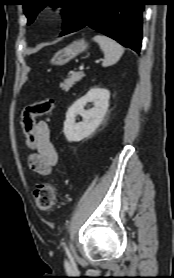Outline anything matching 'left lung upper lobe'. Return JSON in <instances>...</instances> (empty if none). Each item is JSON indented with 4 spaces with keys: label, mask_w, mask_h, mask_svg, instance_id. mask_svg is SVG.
I'll list each match as a JSON object with an SVG mask.
<instances>
[{
    "label": "left lung upper lobe",
    "mask_w": 174,
    "mask_h": 278,
    "mask_svg": "<svg viewBox=\"0 0 174 278\" xmlns=\"http://www.w3.org/2000/svg\"><path fill=\"white\" fill-rule=\"evenodd\" d=\"M82 0H62L60 2L63 3H49L53 2L52 0H25L23 4V10L28 18V25L31 24L36 15L47 5L50 6H59L63 5V7L68 8L69 10L66 13H63L64 19H66L65 23L63 24V28L72 21L75 17L76 12L78 11ZM55 2V1H54Z\"/></svg>",
    "instance_id": "left-lung-upper-lobe-1"
}]
</instances>
